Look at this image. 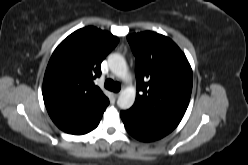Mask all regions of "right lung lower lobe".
Returning a JSON list of instances; mask_svg holds the SVG:
<instances>
[{"mask_svg":"<svg viewBox=\"0 0 248 165\" xmlns=\"http://www.w3.org/2000/svg\"><path fill=\"white\" fill-rule=\"evenodd\" d=\"M100 119H101V118H100ZM100 119H98V120H97L93 125H91L90 127H88V128H86V129L82 130L81 132L77 133V135L86 134V133L92 131L93 129H95V128L98 126Z\"/></svg>","mask_w":248,"mask_h":165,"instance_id":"1","label":"right lung lower lobe"}]
</instances>
